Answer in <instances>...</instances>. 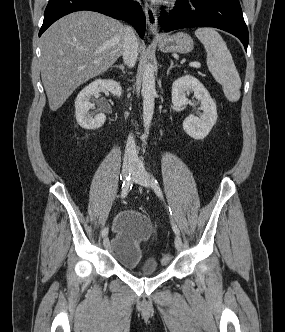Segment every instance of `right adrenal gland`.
<instances>
[{
	"label": "right adrenal gland",
	"instance_id": "2a0ac1e0",
	"mask_svg": "<svg viewBox=\"0 0 285 332\" xmlns=\"http://www.w3.org/2000/svg\"><path fill=\"white\" fill-rule=\"evenodd\" d=\"M114 67L120 69L123 74H126L125 67L123 65H115Z\"/></svg>",
	"mask_w": 285,
	"mask_h": 332
}]
</instances>
